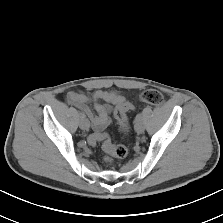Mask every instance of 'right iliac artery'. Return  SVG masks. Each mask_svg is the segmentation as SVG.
<instances>
[{"mask_svg": "<svg viewBox=\"0 0 223 223\" xmlns=\"http://www.w3.org/2000/svg\"><path fill=\"white\" fill-rule=\"evenodd\" d=\"M85 115L83 113H80V118H84Z\"/></svg>", "mask_w": 223, "mask_h": 223, "instance_id": "obj_1", "label": "right iliac artery"}]
</instances>
